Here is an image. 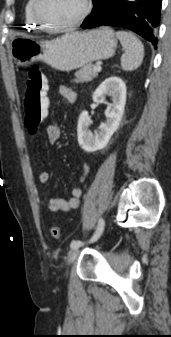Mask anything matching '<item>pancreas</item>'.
<instances>
[{
    "mask_svg": "<svg viewBox=\"0 0 171 337\" xmlns=\"http://www.w3.org/2000/svg\"><path fill=\"white\" fill-rule=\"evenodd\" d=\"M95 66L93 64H87L83 66L80 70L75 72V83H87L93 78L97 77V72L94 70Z\"/></svg>",
    "mask_w": 171,
    "mask_h": 337,
    "instance_id": "obj_1",
    "label": "pancreas"
}]
</instances>
